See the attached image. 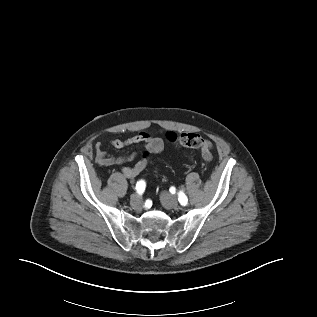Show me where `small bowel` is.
<instances>
[{"label":"small bowel","instance_id":"small-bowel-1","mask_svg":"<svg viewBox=\"0 0 317 317\" xmlns=\"http://www.w3.org/2000/svg\"><path fill=\"white\" fill-rule=\"evenodd\" d=\"M109 143L112 147L116 149H122L135 144H145L148 147V149L153 153H158L162 151L164 148V142L160 137H154L147 132H140L137 135H134L126 139H111ZM211 148V143L208 140H203V144L201 146V153L206 160L211 159ZM136 158V152H131L129 154L113 157L105 152L101 144H98L96 146L95 161L97 165H99L100 167H111L121 165V171L123 175L127 178L136 177L143 171V169L148 164L147 160L141 159L132 167L124 165L125 163L133 161Z\"/></svg>","mask_w":317,"mask_h":317}]
</instances>
